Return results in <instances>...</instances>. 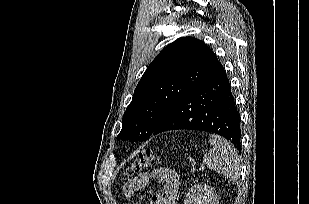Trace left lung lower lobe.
Masks as SVG:
<instances>
[{"label":"left lung lower lobe","instance_id":"0a47b994","mask_svg":"<svg viewBox=\"0 0 309 204\" xmlns=\"http://www.w3.org/2000/svg\"><path fill=\"white\" fill-rule=\"evenodd\" d=\"M177 129L218 134L241 153L240 116L223 67L174 105L150 136Z\"/></svg>","mask_w":309,"mask_h":204}]
</instances>
